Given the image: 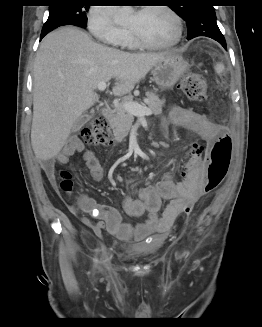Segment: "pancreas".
Here are the masks:
<instances>
[{
    "instance_id": "obj_1",
    "label": "pancreas",
    "mask_w": 262,
    "mask_h": 327,
    "mask_svg": "<svg viewBox=\"0 0 262 327\" xmlns=\"http://www.w3.org/2000/svg\"><path fill=\"white\" fill-rule=\"evenodd\" d=\"M146 97L147 102L143 105H147L153 114L160 115L165 101L160 100L159 96L153 92H147ZM125 101H128V98ZM133 121L134 115L128 113L124 108L117 107L114 109L113 116L110 119V127L113 129V134L117 142H122L128 135Z\"/></svg>"
}]
</instances>
